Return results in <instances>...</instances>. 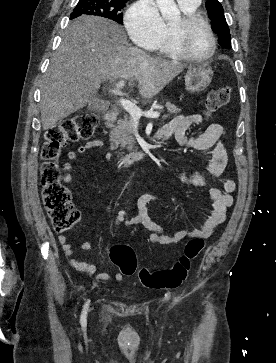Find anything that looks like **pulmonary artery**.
<instances>
[{
	"instance_id": "e3ab8cb5",
	"label": "pulmonary artery",
	"mask_w": 276,
	"mask_h": 363,
	"mask_svg": "<svg viewBox=\"0 0 276 363\" xmlns=\"http://www.w3.org/2000/svg\"><path fill=\"white\" fill-rule=\"evenodd\" d=\"M177 1L179 4L188 5V6H194L200 2V0H177Z\"/></svg>"
}]
</instances>
